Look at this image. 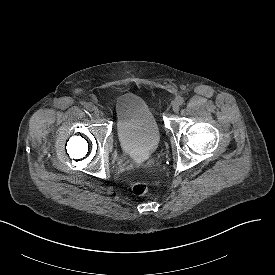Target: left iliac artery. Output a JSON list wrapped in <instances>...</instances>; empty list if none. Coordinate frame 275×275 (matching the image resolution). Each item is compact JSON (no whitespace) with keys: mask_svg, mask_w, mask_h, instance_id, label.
Returning <instances> with one entry per match:
<instances>
[{"mask_svg":"<svg viewBox=\"0 0 275 275\" xmlns=\"http://www.w3.org/2000/svg\"><path fill=\"white\" fill-rule=\"evenodd\" d=\"M176 101H177V103H178L179 105H182V104L184 103V99H183V97H181V96H178V97L176 98Z\"/></svg>","mask_w":275,"mask_h":275,"instance_id":"obj_1","label":"left iliac artery"}]
</instances>
